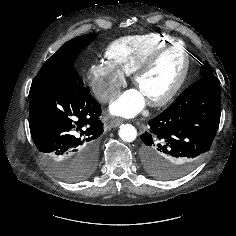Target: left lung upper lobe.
<instances>
[{
	"instance_id": "1",
	"label": "left lung upper lobe",
	"mask_w": 236,
	"mask_h": 236,
	"mask_svg": "<svg viewBox=\"0 0 236 236\" xmlns=\"http://www.w3.org/2000/svg\"><path fill=\"white\" fill-rule=\"evenodd\" d=\"M201 77L213 75L210 65L206 62L200 69Z\"/></svg>"
}]
</instances>
